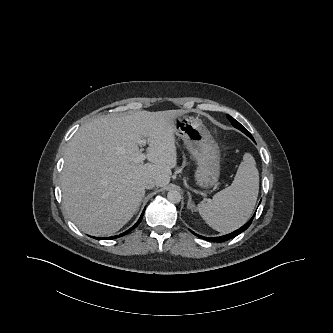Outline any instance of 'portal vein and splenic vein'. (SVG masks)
Segmentation results:
<instances>
[{
    "mask_svg": "<svg viewBox=\"0 0 333 333\" xmlns=\"http://www.w3.org/2000/svg\"><path fill=\"white\" fill-rule=\"evenodd\" d=\"M146 143H147V141H146L145 139L140 140V145L145 146ZM145 159H146V154H144V153H140L139 155H137V156L135 157L134 162H135V163H141V162H143Z\"/></svg>",
    "mask_w": 333,
    "mask_h": 333,
    "instance_id": "1",
    "label": "portal vein and splenic vein"
}]
</instances>
